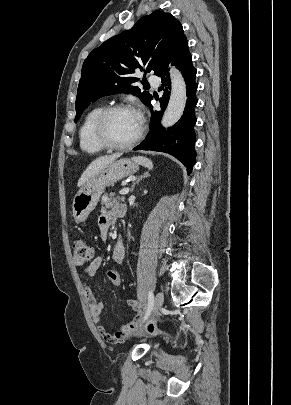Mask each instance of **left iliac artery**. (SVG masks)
Wrapping results in <instances>:
<instances>
[{
	"instance_id": "left-iliac-artery-1",
	"label": "left iliac artery",
	"mask_w": 291,
	"mask_h": 405,
	"mask_svg": "<svg viewBox=\"0 0 291 405\" xmlns=\"http://www.w3.org/2000/svg\"><path fill=\"white\" fill-rule=\"evenodd\" d=\"M153 304H154V296H153V292L149 291L148 294V307L144 316V320L148 318V316L150 315L152 308H153Z\"/></svg>"
}]
</instances>
